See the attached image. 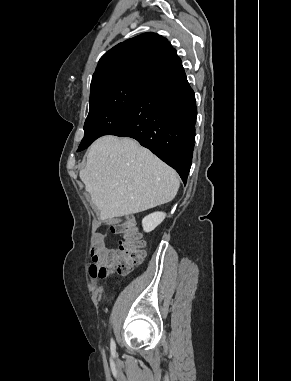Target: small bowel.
<instances>
[{"label":"small bowel","mask_w":291,"mask_h":381,"mask_svg":"<svg viewBox=\"0 0 291 381\" xmlns=\"http://www.w3.org/2000/svg\"><path fill=\"white\" fill-rule=\"evenodd\" d=\"M94 239H95V249L105 246L104 236L101 233H96Z\"/></svg>","instance_id":"1"}]
</instances>
